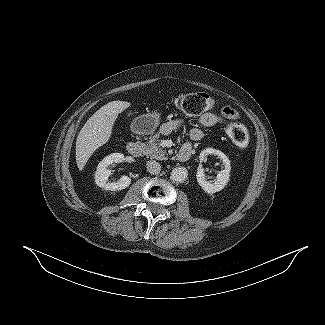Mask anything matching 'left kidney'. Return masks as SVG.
<instances>
[{
  "label": "left kidney",
  "instance_id": "1",
  "mask_svg": "<svg viewBox=\"0 0 325 325\" xmlns=\"http://www.w3.org/2000/svg\"><path fill=\"white\" fill-rule=\"evenodd\" d=\"M208 155H216L218 158H220L223 164V170L217 173L214 181H209L204 174V169L199 166L196 177L198 184L202 187V189L209 194H213L221 191L227 185L230 177L231 166L228 157L220 150L213 148H206L201 151L199 156L200 162L205 161Z\"/></svg>",
  "mask_w": 325,
  "mask_h": 325
}]
</instances>
